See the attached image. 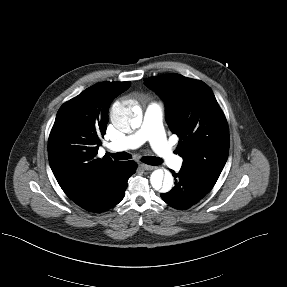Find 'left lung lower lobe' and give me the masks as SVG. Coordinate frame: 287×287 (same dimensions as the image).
I'll return each instance as SVG.
<instances>
[{
    "instance_id": "left-lung-lower-lobe-1",
    "label": "left lung lower lobe",
    "mask_w": 287,
    "mask_h": 287,
    "mask_svg": "<svg viewBox=\"0 0 287 287\" xmlns=\"http://www.w3.org/2000/svg\"><path fill=\"white\" fill-rule=\"evenodd\" d=\"M175 186L161 198L176 209H187L200 201L213 187L200 179L188 168L181 167L179 173L171 170Z\"/></svg>"
}]
</instances>
